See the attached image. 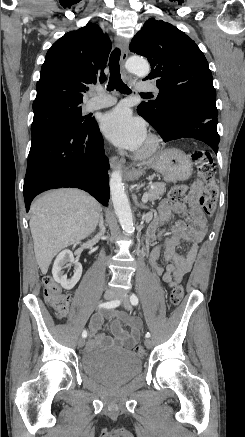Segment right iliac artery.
Here are the masks:
<instances>
[{
  "label": "right iliac artery",
  "mask_w": 245,
  "mask_h": 437,
  "mask_svg": "<svg viewBox=\"0 0 245 437\" xmlns=\"http://www.w3.org/2000/svg\"><path fill=\"white\" fill-rule=\"evenodd\" d=\"M119 305H120V301L119 300H113V301H109V302H105V303L99 304L98 307L99 308H102V307H104V308H115V307H117ZM82 337L83 338L87 337V331L86 330H84L82 332Z\"/></svg>",
  "instance_id": "82829eb1"
}]
</instances>
